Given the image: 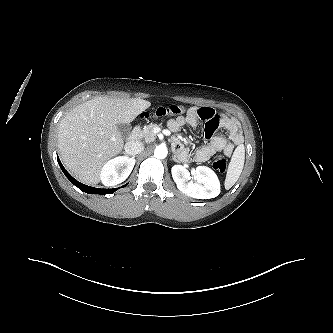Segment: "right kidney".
<instances>
[{
	"instance_id": "1",
	"label": "right kidney",
	"mask_w": 333,
	"mask_h": 333,
	"mask_svg": "<svg viewBox=\"0 0 333 333\" xmlns=\"http://www.w3.org/2000/svg\"><path fill=\"white\" fill-rule=\"evenodd\" d=\"M135 159L119 156L105 163L100 179L105 186H114L125 181L135 165Z\"/></svg>"
}]
</instances>
